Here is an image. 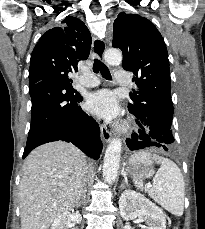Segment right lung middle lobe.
I'll list each match as a JSON object with an SVG mask.
<instances>
[{
	"mask_svg": "<svg viewBox=\"0 0 205 229\" xmlns=\"http://www.w3.org/2000/svg\"><path fill=\"white\" fill-rule=\"evenodd\" d=\"M53 79L57 80L58 82L60 83H63L65 84L66 86H72L71 85V82H72V79H70L68 76H55Z\"/></svg>",
	"mask_w": 205,
	"mask_h": 229,
	"instance_id": "right-lung-middle-lobe-1",
	"label": "right lung middle lobe"
}]
</instances>
